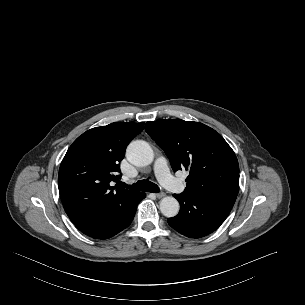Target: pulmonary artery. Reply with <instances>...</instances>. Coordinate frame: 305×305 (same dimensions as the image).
Segmentation results:
<instances>
[{
    "label": "pulmonary artery",
    "instance_id": "e3ab8cb5",
    "mask_svg": "<svg viewBox=\"0 0 305 305\" xmlns=\"http://www.w3.org/2000/svg\"><path fill=\"white\" fill-rule=\"evenodd\" d=\"M154 173L164 187L176 192H181L184 189L183 183L171 175L165 157L160 156L155 160Z\"/></svg>",
    "mask_w": 305,
    "mask_h": 305
}]
</instances>
